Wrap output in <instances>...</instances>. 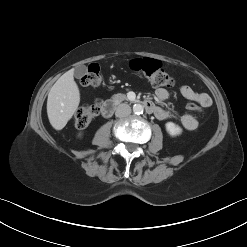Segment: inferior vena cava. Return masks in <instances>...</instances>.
<instances>
[{"label": "inferior vena cava", "mask_w": 247, "mask_h": 247, "mask_svg": "<svg viewBox=\"0 0 247 247\" xmlns=\"http://www.w3.org/2000/svg\"><path fill=\"white\" fill-rule=\"evenodd\" d=\"M131 113V107L128 104L122 103L118 105L115 115L117 117L128 116Z\"/></svg>", "instance_id": "inferior-vena-cava-1"}]
</instances>
